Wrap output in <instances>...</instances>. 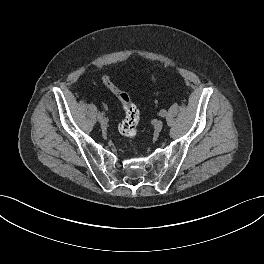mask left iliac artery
<instances>
[{
  "instance_id": "1",
  "label": "left iliac artery",
  "mask_w": 264,
  "mask_h": 264,
  "mask_svg": "<svg viewBox=\"0 0 264 264\" xmlns=\"http://www.w3.org/2000/svg\"><path fill=\"white\" fill-rule=\"evenodd\" d=\"M166 113H167L166 110L163 109V110L160 111L159 114H160L161 117H164V116H166Z\"/></svg>"
}]
</instances>
